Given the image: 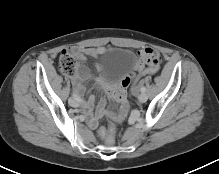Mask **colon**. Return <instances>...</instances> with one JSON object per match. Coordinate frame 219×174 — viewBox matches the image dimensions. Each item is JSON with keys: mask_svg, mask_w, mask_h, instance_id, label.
<instances>
[{"mask_svg": "<svg viewBox=\"0 0 219 174\" xmlns=\"http://www.w3.org/2000/svg\"><path fill=\"white\" fill-rule=\"evenodd\" d=\"M59 68L62 73L68 76H73L77 70V63L75 58L71 54L64 51L60 57ZM158 71L159 69L156 66H147L138 73L135 82H138L143 76L155 75L158 73ZM97 134L99 137L105 139L108 145L111 146L114 144L116 129L113 125L99 128Z\"/></svg>", "mask_w": 219, "mask_h": 174, "instance_id": "1", "label": "colon"}]
</instances>
